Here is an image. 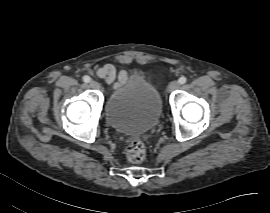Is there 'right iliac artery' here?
<instances>
[{"label": "right iliac artery", "mask_w": 270, "mask_h": 213, "mask_svg": "<svg viewBox=\"0 0 270 213\" xmlns=\"http://www.w3.org/2000/svg\"><path fill=\"white\" fill-rule=\"evenodd\" d=\"M83 81L89 83L91 81V78L89 76H84Z\"/></svg>", "instance_id": "obj_1"}]
</instances>
